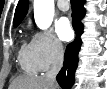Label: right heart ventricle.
Segmentation results:
<instances>
[{"label":"right heart ventricle","mask_w":107,"mask_h":89,"mask_svg":"<svg viewBox=\"0 0 107 89\" xmlns=\"http://www.w3.org/2000/svg\"><path fill=\"white\" fill-rule=\"evenodd\" d=\"M18 59L20 66L25 73L36 74L40 71L30 44L24 43L21 45L18 53Z\"/></svg>","instance_id":"right-heart-ventricle-1"}]
</instances>
